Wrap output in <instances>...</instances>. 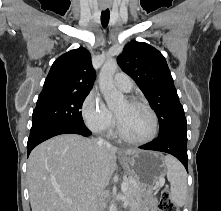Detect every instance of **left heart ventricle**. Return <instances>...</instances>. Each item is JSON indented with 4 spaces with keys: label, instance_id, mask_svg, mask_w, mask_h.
<instances>
[{
    "label": "left heart ventricle",
    "instance_id": "obj_1",
    "mask_svg": "<svg viewBox=\"0 0 221 211\" xmlns=\"http://www.w3.org/2000/svg\"><path fill=\"white\" fill-rule=\"evenodd\" d=\"M115 114L123 132L128 137L141 140L150 135L153 126L152 117L144 107L124 100L115 109Z\"/></svg>",
    "mask_w": 221,
    "mask_h": 211
}]
</instances>
